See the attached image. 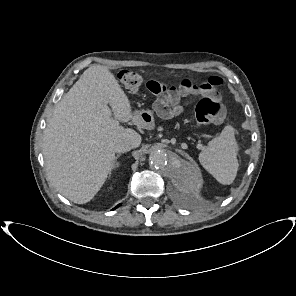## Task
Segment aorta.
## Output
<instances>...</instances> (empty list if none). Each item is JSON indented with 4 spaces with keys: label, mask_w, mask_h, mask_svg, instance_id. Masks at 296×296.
Returning a JSON list of instances; mask_svg holds the SVG:
<instances>
[{
    "label": "aorta",
    "mask_w": 296,
    "mask_h": 296,
    "mask_svg": "<svg viewBox=\"0 0 296 296\" xmlns=\"http://www.w3.org/2000/svg\"><path fill=\"white\" fill-rule=\"evenodd\" d=\"M149 162L154 170L171 177L182 189L195 190L200 185L195 167L172 151L156 149L151 152Z\"/></svg>",
    "instance_id": "762f6f07"
}]
</instances>
